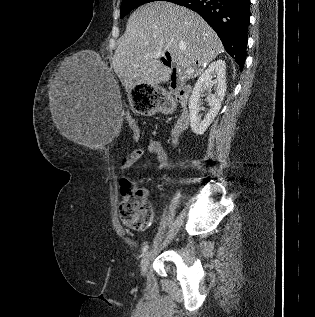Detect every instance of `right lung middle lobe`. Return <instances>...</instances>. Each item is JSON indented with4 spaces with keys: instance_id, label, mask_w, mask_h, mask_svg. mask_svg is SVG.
Returning <instances> with one entry per match:
<instances>
[{
    "instance_id": "dd1d6c3e",
    "label": "right lung middle lobe",
    "mask_w": 315,
    "mask_h": 317,
    "mask_svg": "<svg viewBox=\"0 0 315 317\" xmlns=\"http://www.w3.org/2000/svg\"><path fill=\"white\" fill-rule=\"evenodd\" d=\"M153 1H169L174 2L176 0H123L121 4V15L120 18H123L125 15H127L130 11L137 8L140 5H143L145 3L153 2Z\"/></svg>"
}]
</instances>
